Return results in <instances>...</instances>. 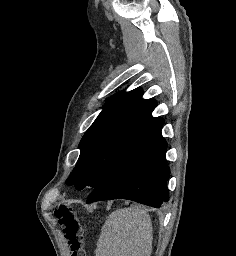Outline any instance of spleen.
<instances>
[{
  "instance_id": "3e777b00",
  "label": "spleen",
  "mask_w": 236,
  "mask_h": 256,
  "mask_svg": "<svg viewBox=\"0 0 236 256\" xmlns=\"http://www.w3.org/2000/svg\"><path fill=\"white\" fill-rule=\"evenodd\" d=\"M153 228L149 214L138 206L108 216L95 256H151Z\"/></svg>"
}]
</instances>
